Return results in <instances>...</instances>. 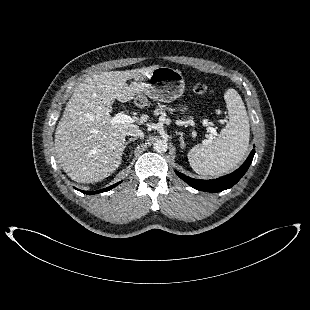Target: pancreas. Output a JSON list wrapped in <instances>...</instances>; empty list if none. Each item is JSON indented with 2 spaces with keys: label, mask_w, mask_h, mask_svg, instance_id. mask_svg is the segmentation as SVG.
<instances>
[{
  "label": "pancreas",
  "mask_w": 310,
  "mask_h": 310,
  "mask_svg": "<svg viewBox=\"0 0 310 310\" xmlns=\"http://www.w3.org/2000/svg\"><path fill=\"white\" fill-rule=\"evenodd\" d=\"M166 109H168L169 111H172V109L170 107H167ZM164 109L162 107H159L157 108L155 111H154V114L155 115H158V114H161L163 113Z\"/></svg>",
  "instance_id": "obj_1"
}]
</instances>
